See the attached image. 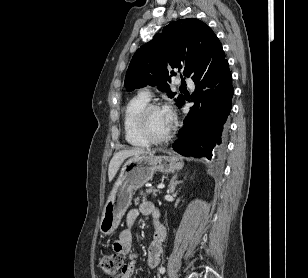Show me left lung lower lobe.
I'll list each match as a JSON object with an SVG mask.
<instances>
[{"label":"left lung lower lobe","mask_w":308,"mask_h":278,"mask_svg":"<svg viewBox=\"0 0 308 278\" xmlns=\"http://www.w3.org/2000/svg\"><path fill=\"white\" fill-rule=\"evenodd\" d=\"M194 82L196 91L191 101L195 105L184 120L173 149L183 156L211 160L225 145L227 118L232 108L234 90L228 61L225 59L210 74Z\"/></svg>","instance_id":"1"}]
</instances>
